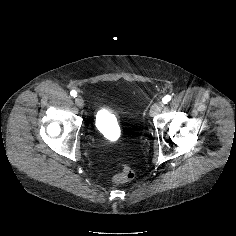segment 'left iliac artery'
Segmentation results:
<instances>
[{
    "label": "left iliac artery",
    "mask_w": 236,
    "mask_h": 236,
    "mask_svg": "<svg viewBox=\"0 0 236 236\" xmlns=\"http://www.w3.org/2000/svg\"><path fill=\"white\" fill-rule=\"evenodd\" d=\"M171 100V96L170 95H166L163 99H162V102L164 104L168 103L169 101Z\"/></svg>",
    "instance_id": "1"
}]
</instances>
